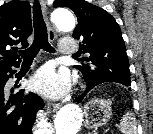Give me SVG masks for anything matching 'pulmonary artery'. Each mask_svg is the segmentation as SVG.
Listing matches in <instances>:
<instances>
[{
    "label": "pulmonary artery",
    "mask_w": 153,
    "mask_h": 134,
    "mask_svg": "<svg viewBox=\"0 0 153 134\" xmlns=\"http://www.w3.org/2000/svg\"><path fill=\"white\" fill-rule=\"evenodd\" d=\"M78 50L77 43L72 38H63L60 42L59 52L63 55H70Z\"/></svg>",
    "instance_id": "obj_1"
}]
</instances>
